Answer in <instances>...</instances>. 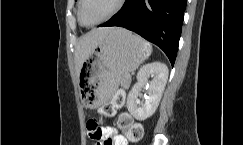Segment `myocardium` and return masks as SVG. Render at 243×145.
<instances>
[{
    "mask_svg": "<svg viewBox=\"0 0 243 145\" xmlns=\"http://www.w3.org/2000/svg\"><path fill=\"white\" fill-rule=\"evenodd\" d=\"M84 1L85 0H79L78 19H79V22L85 27H95V26H98V25L108 21L109 19L114 17L116 14H118L126 4V0H119L116 7L106 17H104L102 20L96 22L95 24H87L84 22L83 15H82Z\"/></svg>",
    "mask_w": 243,
    "mask_h": 145,
    "instance_id": "f54148a6",
    "label": "myocardium"
}]
</instances>
